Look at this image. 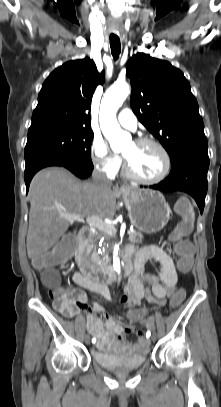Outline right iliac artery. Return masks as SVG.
<instances>
[{
    "mask_svg": "<svg viewBox=\"0 0 221 407\" xmlns=\"http://www.w3.org/2000/svg\"><path fill=\"white\" fill-rule=\"evenodd\" d=\"M95 341H96L95 338H93V339H92V342L95 343Z\"/></svg>",
    "mask_w": 221,
    "mask_h": 407,
    "instance_id": "right-iliac-artery-1",
    "label": "right iliac artery"
}]
</instances>
